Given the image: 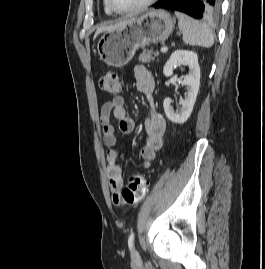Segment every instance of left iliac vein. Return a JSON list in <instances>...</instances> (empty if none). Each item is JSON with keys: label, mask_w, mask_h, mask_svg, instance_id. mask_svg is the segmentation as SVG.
Instances as JSON below:
<instances>
[{"label": "left iliac vein", "mask_w": 265, "mask_h": 269, "mask_svg": "<svg viewBox=\"0 0 265 269\" xmlns=\"http://www.w3.org/2000/svg\"><path fill=\"white\" fill-rule=\"evenodd\" d=\"M132 257L134 258V259H139V253L137 252V250L136 249H133V251H132Z\"/></svg>", "instance_id": "obj_1"}]
</instances>
